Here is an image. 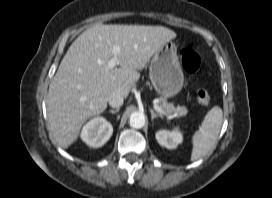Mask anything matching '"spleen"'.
Listing matches in <instances>:
<instances>
[{
  "label": "spleen",
  "mask_w": 272,
  "mask_h": 198,
  "mask_svg": "<svg viewBox=\"0 0 272 198\" xmlns=\"http://www.w3.org/2000/svg\"><path fill=\"white\" fill-rule=\"evenodd\" d=\"M222 120L223 112L220 107L214 106L208 111L199 130L192 137L191 161L202 158L211 150L220 133Z\"/></svg>",
  "instance_id": "obj_1"
}]
</instances>
